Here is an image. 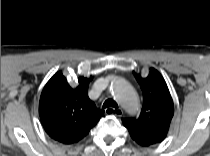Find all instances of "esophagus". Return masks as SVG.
Masks as SVG:
<instances>
[{"instance_id": "esophagus-1", "label": "esophagus", "mask_w": 210, "mask_h": 156, "mask_svg": "<svg viewBox=\"0 0 210 156\" xmlns=\"http://www.w3.org/2000/svg\"><path fill=\"white\" fill-rule=\"evenodd\" d=\"M112 110H114V108H111V107H109V108H106L105 109V113L106 114H112ZM123 110L121 109V108H119V109H117V111H116V115H118V116H122L123 115Z\"/></svg>"}]
</instances>
